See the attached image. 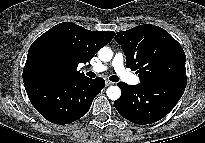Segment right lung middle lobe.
Here are the masks:
<instances>
[{"label":"right lung middle lobe","instance_id":"obj_1","mask_svg":"<svg viewBox=\"0 0 205 143\" xmlns=\"http://www.w3.org/2000/svg\"><path fill=\"white\" fill-rule=\"evenodd\" d=\"M57 60V54L52 50L46 51L42 56V62L48 66L54 65L57 62Z\"/></svg>","mask_w":205,"mask_h":143}]
</instances>
